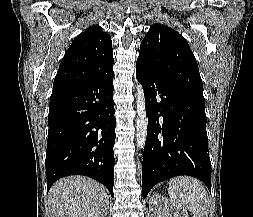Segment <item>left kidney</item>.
<instances>
[{
	"label": "left kidney",
	"mask_w": 253,
	"mask_h": 217,
	"mask_svg": "<svg viewBox=\"0 0 253 217\" xmlns=\"http://www.w3.org/2000/svg\"><path fill=\"white\" fill-rule=\"evenodd\" d=\"M152 216L153 217H189L188 212L175 206L164 196L154 195L151 198Z\"/></svg>",
	"instance_id": "obj_1"
}]
</instances>
